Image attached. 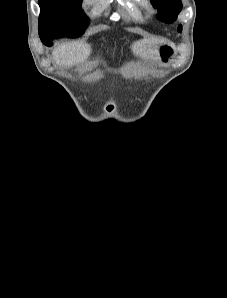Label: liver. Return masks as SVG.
<instances>
[{"label": "liver", "instance_id": "obj_1", "mask_svg": "<svg viewBox=\"0 0 227 298\" xmlns=\"http://www.w3.org/2000/svg\"><path fill=\"white\" fill-rule=\"evenodd\" d=\"M163 41L157 38H145L132 45L134 54L143 59H156L157 46ZM90 45L86 42L60 44L53 50L56 64L71 67L85 61L90 55Z\"/></svg>", "mask_w": 227, "mask_h": 298}]
</instances>
